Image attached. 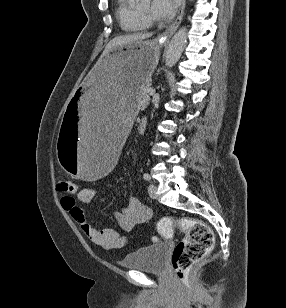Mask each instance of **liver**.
<instances>
[{"instance_id": "6515ba94", "label": "liver", "mask_w": 286, "mask_h": 308, "mask_svg": "<svg viewBox=\"0 0 286 308\" xmlns=\"http://www.w3.org/2000/svg\"><path fill=\"white\" fill-rule=\"evenodd\" d=\"M152 35H153L152 33H133V34L115 37L106 45L100 59L106 56L115 47L137 42V41H142L144 39H148L152 37Z\"/></svg>"}]
</instances>
